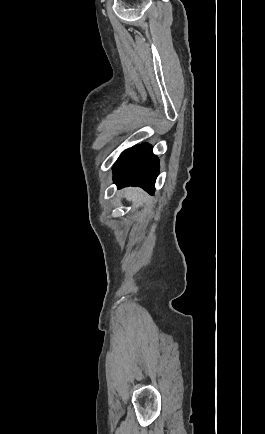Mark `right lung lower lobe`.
Returning <instances> with one entry per match:
<instances>
[{"mask_svg":"<svg viewBox=\"0 0 265 434\" xmlns=\"http://www.w3.org/2000/svg\"><path fill=\"white\" fill-rule=\"evenodd\" d=\"M159 162L148 144L125 150L114 165L113 180L118 188L140 186L153 194Z\"/></svg>","mask_w":265,"mask_h":434,"instance_id":"obj_1","label":"right lung lower lobe"}]
</instances>
